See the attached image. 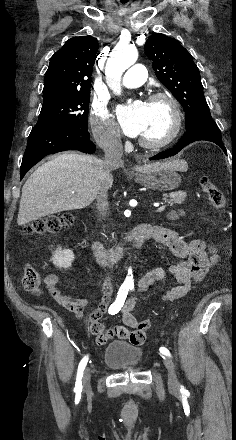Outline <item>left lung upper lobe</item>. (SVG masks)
Listing matches in <instances>:
<instances>
[{
    "label": "left lung upper lobe",
    "instance_id": "left-lung-upper-lobe-1",
    "mask_svg": "<svg viewBox=\"0 0 236 440\" xmlns=\"http://www.w3.org/2000/svg\"><path fill=\"white\" fill-rule=\"evenodd\" d=\"M145 53L153 61L157 78L181 103L186 115V129L211 116L199 69L178 40L155 33L146 41Z\"/></svg>",
    "mask_w": 236,
    "mask_h": 440
}]
</instances>
